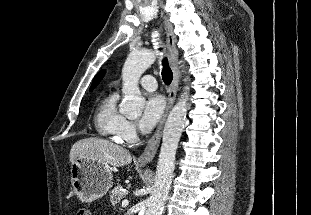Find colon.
Returning <instances> with one entry per match:
<instances>
[{"label": "colon", "instance_id": "obj_1", "mask_svg": "<svg viewBox=\"0 0 311 215\" xmlns=\"http://www.w3.org/2000/svg\"><path fill=\"white\" fill-rule=\"evenodd\" d=\"M76 215H91V213L86 208H79Z\"/></svg>", "mask_w": 311, "mask_h": 215}]
</instances>
